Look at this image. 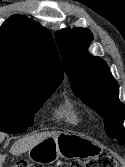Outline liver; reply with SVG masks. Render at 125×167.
<instances>
[{
  "instance_id": "liver-1",
  "label": "liver",
  "mask_w": 125,
  "mask_h": 167,
  "mask_svg": "<svg viewBox=\"0 0 125 167\" xmlns=\"http://www.w3.org/2000/svg\"><path fill=\"white\" fill-rule=\"evenodd\" d=\"M61 132H40L36 133L30 136H25L22 139L17 140L11 147L10 153L13 155H20L22 153H25L29 151L31 148H33L35 145L40 143L41 141L45 140L48 137L56 136L60 134ZM5 133H0V142L3 141L5 138ZM6 155L0 154V167H2L3 162L5 161Z\"/></svg>"
}]
</instances>
